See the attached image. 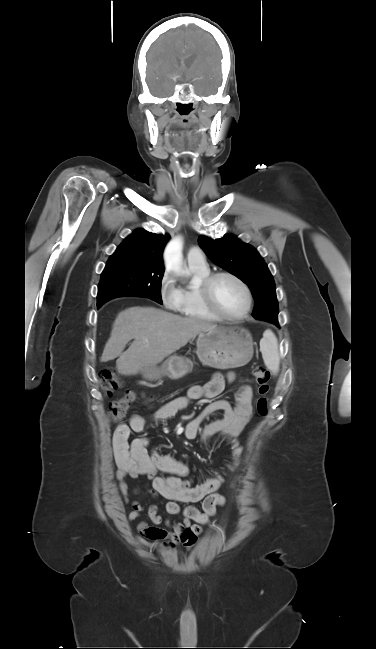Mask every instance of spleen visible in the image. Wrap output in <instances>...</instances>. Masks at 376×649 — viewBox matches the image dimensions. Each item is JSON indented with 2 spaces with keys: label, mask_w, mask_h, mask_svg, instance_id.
<instances>
[{
  "label": "spleen",
  "mask_w": 376,
  "mask_h": 649,
  "mask_svg": "<svg viewBox=\"0 0 376 649\" xmlns=\"http://www.w3.org/2000/svg\"><path fill=\"white\" fill-rule=\"evenodd\" d=\"M260 351L266 367L273 373L279 372L280 357L278 353V341L275 334L268 330L260 341Z\"/></svg>",
  "instance_id": "spleen-1"
}]
</instances>
